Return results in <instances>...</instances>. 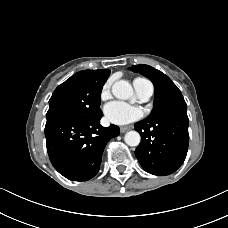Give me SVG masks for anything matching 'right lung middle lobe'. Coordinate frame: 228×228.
<instances>
[{"label": "right lung middle lobe", "instance_id": "right-lung-middle-lobe-1", "mask_svg": "<svg viewBox=\"0 0 228 228\" xmlns=\"http://www.w3.org/2000/svg\"><path fill=\"white\" fill-rule=\"evenodd\" d=\"M109 75L110 70L106 69L98 78L71 76L59 85L49 100L47 123L58 118H92L100 114V95Z\"/></svg>", "mask_w": 228, "mask_h": 228}]
</instances>
